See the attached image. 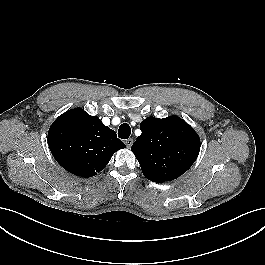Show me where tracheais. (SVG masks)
Listing matches in <instances>:
<instances>
[{
    "mask_svg": "<svg viewBox=\"0 0 265 265\" xmlns=\"http://www.w3.org/2000/svg\"><path fill=\"white\" fill-rule=\"evenodd\" d=\"M131 134V128L127 123H123L120 125L118 129V136L121 139H128Z\"/></svg>",
    "mask_w": 265,
    "mask_h": 265,
    "instance_id": "trachea-1",
    "label": "trachea"
}]
</instances>
